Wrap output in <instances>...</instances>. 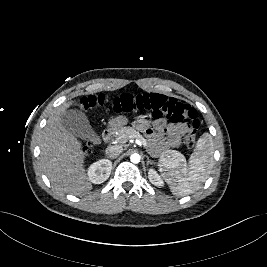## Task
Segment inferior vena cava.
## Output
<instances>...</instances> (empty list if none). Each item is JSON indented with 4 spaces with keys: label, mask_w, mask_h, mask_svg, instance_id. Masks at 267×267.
Segmentation results:
<instances>
[{
    "label": "inferior vena cava",
    "mask_w": 267,
    "mask_h": 267,
    "mask_svg": "<svg viewBox=\"0 0 267 267\" xmlns=\"http://www.w3.org/2000/svg\"><path fill=\"white\" fill-rule=\"evenodd\" d=\"M122 151H123V148L122 146H119V145L109 146L105 150L106 155L111 159H114L117 156H119L122 153Z\"/></svg>",
    "instance_id": "602c4592"
}]
</instances>
